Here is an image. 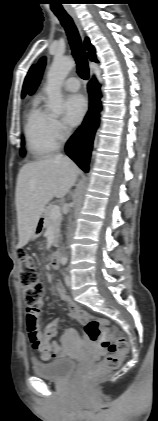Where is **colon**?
<instances>
[{"mask_svg":"<svg viewBox=\"0 0 158 421\" xmlns=\"http://www.w3.org/2000/svg\"><path fill=\"white\" fill-rule=\"evenodd\" d=\"M17 259L20 281L24 289L28 309L36 313L43 293L39 273L32 257L24 249L17 251ZM81 321L84 325L85 336L99 347L108 350L107 356L82 376V385L88 387L109 370L116 369L120 365L129 350V343L123 335L111 328L103 319L91 318L87 313H84L81 315ZM40 354L44 361H48L52 357V354L46 348L41 349Z\"/></svg>","mask_w":158,"mask_h":421,"instance_id":"1","label":"colon"}]
</instances>
